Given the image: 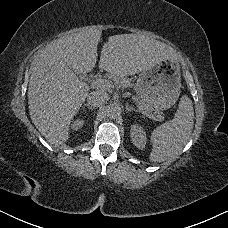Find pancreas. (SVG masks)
Listing matches in <instances>:
<instances>
[{
  "label": "pancreas",
  "instance_id": "pancreas-1",
  "mask_svg": "<svg viewBox=\"0 0 228 228\" xmlns=\"http://www.w3.org/2000/svg\"><path fill=\"white\" fill-rule=\"evenodd\" d=\"M110 79H113L115 82H119L120 83V85H121V87H131V86H133V83H132V81H130V80H128V79H125V78H119V77H117V76H111L110 77ZM140 106H141V108H142V110H144V111H147L146 110V108H144L141 104H140ZM155 114H157V113H154V115ZM159 116V115H158ZM159 118V117H158ZM163 119V117L161 118H159V120H162Z\"/></svg>",
  "mask_w": 228,
  "mask_h": 228
}]
</instances>
